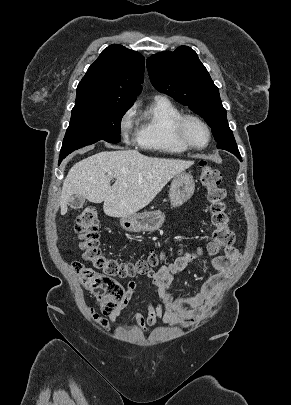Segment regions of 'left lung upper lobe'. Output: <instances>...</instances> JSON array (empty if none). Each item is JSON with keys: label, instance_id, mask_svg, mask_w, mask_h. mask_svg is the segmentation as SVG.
Masks as SVG:
<instances>
[{"label": "left lung upper lobe", "instance_id": "obj_1", "mask_svg": "<svg viewBox=\"0 0 291 405\" xmlns=\"http://www.w3.org/2000/svg\"><path fill=\"white\" fill-rule=\"evenodd\" d=\"M147 69L151 83L158 91L204 118L212 129L217 148L240 155L219 90L194 50L180 46L173 52L152 55L147 59Z\"/></svg>", "mask_w": 291, "mask_h": 405}]
</instances>
